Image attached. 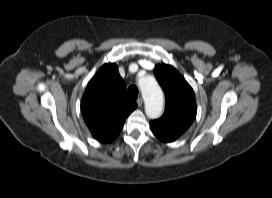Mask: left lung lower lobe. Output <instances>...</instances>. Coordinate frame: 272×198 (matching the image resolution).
Wrapping results in <instances>:
<instances>
[{
    "instance_id": "0a47b994",
    "label": "left lung lower lobe",
    "mask_w": 272,
    "mask_h": 198,
    "mask_svg": "<svg viewBox=\"0 0 272 198\" xmlns=\"http://www.w3.org/2000/svg\"><path fill=\"white\" fill-rule=\"evenodd\" d=\"M151 130L153 132V134L158 138L160 139L161 141H164V142H172V141H175L177 139V137L171 135V134H168L158 128H155L153 126H151Z\"/></svg>"
}]
</instances>
